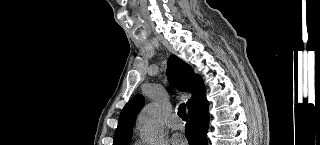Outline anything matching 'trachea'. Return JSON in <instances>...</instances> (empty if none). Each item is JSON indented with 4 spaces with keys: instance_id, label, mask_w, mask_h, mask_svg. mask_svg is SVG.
Returning a JSON list of instances; mask_svg holds the SVG:
<instances>
[{
    "instance_id": "3493384b",
    "label": "trachea",
    "mask_w": 320,
    "mask_h": 145,
    "mask_svg": "<svg viewBox=\"0 0 320 145\" xmlns=\"http://www.w3.org/2000/svg\"><path fill=\"white\" fill-rule=\"evenodd\" d=\"M178 115L182 120L187 121V115H186V105L185 103H182L178 108Z\"/></svg>"
}]
</instances>
